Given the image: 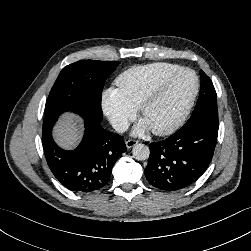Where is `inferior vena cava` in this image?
<instances>
[{"mask_svg": "<svg viewBox=\"0 0 251 251\" xmlns=\"http://www.w3.org/2000/svg\"><path fill=\"white\" fill-rule=\"evenodd\" d=\"M111 124L118 133H124L129 128V123L126 120L114 119L111 121Z\"/></svg>", "mask_w": 251, "mask_h": 251, "instance_id": "602c4592", "label": "inferior vena cava"}]
</instances>
